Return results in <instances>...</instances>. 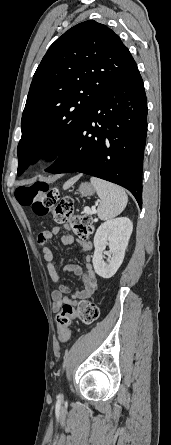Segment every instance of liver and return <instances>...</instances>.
Returning a JSON list of instances; mask_svg holds the SVG:
<instances>
[{
  "instance_id": "obj_1",
  "label": "liver",
  "mask_w": 171,
  "mask_h": 445,
  "mask_svg": "<svg viewBox=\"0 0 171 445\" xmlns=\"http://www.w3.org/2000/svg\"><path fill=\"white\" fill-rule=\"evenodd\" d=\"M74 181H75V179L68 181V182L65 184V187H69Z\"/></svg>"
}]
</instances>
